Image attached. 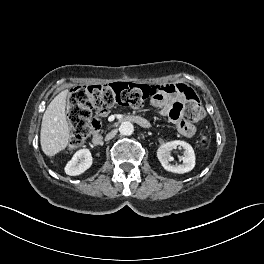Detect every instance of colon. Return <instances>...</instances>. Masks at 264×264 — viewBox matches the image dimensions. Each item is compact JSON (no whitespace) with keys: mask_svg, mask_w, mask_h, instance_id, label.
I'll return each mask as SVG.
<instances>
[{"mask_svg":"<svg viewBox=\"0 0 264 264\" xmlns=\"http://www.w3.org/2000/svg\"><path fill=\"white\" fill-rule=\"evenodd\" d=\"M177 91L182 96L181 114L189 122L199 123L205 112L198 95L184 84L144 85L131 82H115L106 85H81L73 88L68 99L67 116L70 124L71 149L83 145L88 135L100 127L92 112H106L115 106L137 108L148 100ZM208 136L203 134L200 144L206 145Z\"/></svg>","mask_w":264,"mask_h":264,"instance_id":"obj_1","label":"colon"}]
</instances>
